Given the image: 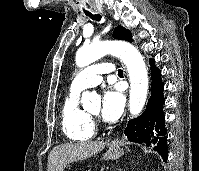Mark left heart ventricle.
Instances as JSON below:
<instances>
[{"instance_id":"obj_1","label":"left heart ventricle","mask_w":199,"mask_h":171,"mask_svg":"<svg viewBox=\"0 0 199 171\" xmlns=\"http://www.w3.org/2000/svg\"><path fill=\"white\" fill-rule=\"evenodd\" d=\"M98 112V108H95L93 111H92V114H96Z\"/></svg>"}]
</instances>
